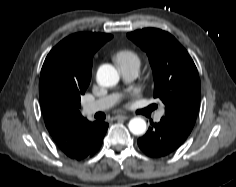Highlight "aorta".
Instances as JSON below:
<instances>
[{"mask_svg":"<svg viewBox=\"0 0 236 187\" xmlns=\"http://www.w3.org/2000/svg\"><path fill=\"white\" fill-rule=\"evenodd\" d=\"M99 85L104 87L115 86L119 82V73L110 64H104L99 67L96 76ZM129 130L134 135H142L146 132V122L140 117H135L128 124Z\"/></svg>","mask_w":236,"mask_h":187,"instance_id":"1","label":"aorta"}]
</instances>
